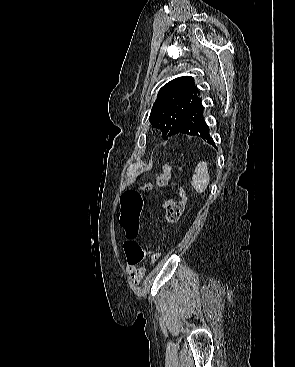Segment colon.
<instances>
[{
    "mask_svg": "<svg viewBox=\"0 0 295 367\" xmlns=\"http://www.w3.org/2000/svg\"><path fill=\"white\" fill-rule=\"evenodd\" d=\"M172 166L166 164L162 172L157 176L155 182L144 185L145 190H151L154 187L164 186L170 178ZM187 196L184 192H180L177 199L169 200L165 205V220L169 224L176 223L186 206ZM121 216L120 224L125 232L126 241L124 250L127 261L130 264H139L145 255L144 250L137 243L136 238L139 232V219L142 209L141 194L134 189L127 190L121 197ZM159 253L152 252L150 254L151 263L159 260Z\"/></svg>",
    "mask_w": 295,
    "mask_h": 367,
    "instance_id": "obj_1",
    "label": "colon"
}]
</instances>
